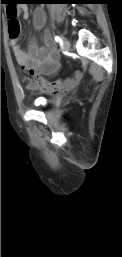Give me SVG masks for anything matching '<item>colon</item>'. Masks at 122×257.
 I'll return each instance as SVG.
<instances>
[{
    "label": "colon",
    "mask_w": 122,
    "mask_h": 257,
    "mask_svg": "<svg viewBox=\"0 0 122 257\" xmlns=\"http://www.w3.org/2000/svg\"><path fill=\"white\" fill-rule=\"evenodd\" d=\"M5 10H8V28L11 37H18L20 34V23L17 19L16 5H5ZM74 79H84L82 70H74ZM32 88H39L47 93H56L62 87V82L56 80L53 82H47L39 76H34L33 82L29 83Z\"/></svg>",
    "instance_id": "obj_1"
}]
</instances>
